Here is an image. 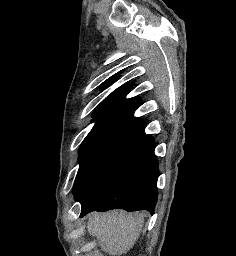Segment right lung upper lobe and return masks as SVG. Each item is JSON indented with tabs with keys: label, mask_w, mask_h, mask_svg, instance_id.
Segmentation results:
<instances>
[{
	"label": "right lung upper lobe",
	"mask_w": 236,
	"mask_h": 256,
	"mask_svg": "<svg viewBox=\"0 0 236 256\" xmlns=\"http://www.w3.org/2000/svg\"><path fill=\"white\" fill-rule=\"evenodd\" d=\"M117 79V76L111 77L109 82L105 83L108 86ZM129 85H124L113 91L107 98H105L96 108L94 117L95 120L107 118H121L127 120L142 121V118L133 117L134 111L141 104V99L133 97L125 99L129 91Z\"/></svg>",
	"instance_id": "obj_1"
}]
</instances>
